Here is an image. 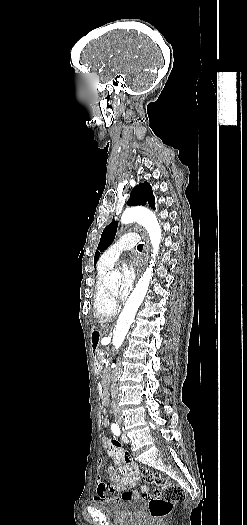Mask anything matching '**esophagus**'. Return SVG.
I'll use <instances>...</instances> for the list:
<instances>
[{
    "label": "esophagus",
    "instance_id": "34e87169",
    "mask_svg": "<svg viewBox=\"0 0 247 525\" xmlns=\"http://www.w3.org/2000/svg\"><path fill=\"white\" fill-rule=\"evenodd\" d=\"M144 254H145V259L144 261H142L141 270H144V267L147 266V261L149 259V239H147V242L144 248Z\"/></svg>",
    "mask_w": 247,
    "mask_h": 525
}]
</instances>
